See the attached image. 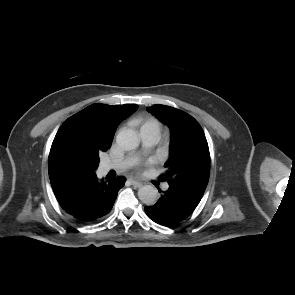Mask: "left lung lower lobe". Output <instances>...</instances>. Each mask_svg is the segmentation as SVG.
<instances>
[{
    "label": "left lung lower lobe",
    "mask_w": 295,
    "mask_h": 295,
    "mask_svg": "<svg viewBox=\"0 0 295 295\" xmlns=\"http://www.w3.org/2000/svg\"><path fill=\"white\" fill-rule=\"evenodd\" d=\"M168 184L169 188L163 192L157 203L145 207V212L154 222L169 227L192 214L204 191L198 187L185 189L176 184Z\"/></svg>",
    "instance_id": "1"
}]
</instances>
